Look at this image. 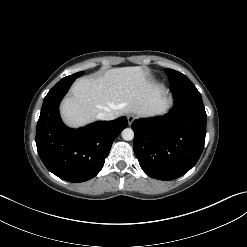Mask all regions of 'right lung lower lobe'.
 Wrapping results in <instances>:
<instances>
[{
  "label": "right lung lower lobe",
  "mask_w": 247,
  "mask_h": 247,
  "mask_svg": "<svg viewBox=\"0 0 247 247\" xmlns=\"http://www.w3.org/2000/svg\"><path fill=\"white\" fill-rule=\"evenodd\" d=\"M75 78L60 80L46 95L36 129V145L46 168L69 182L95 177L112 143L128 126L126 117L70 129L60 119L59 104Z\"/></svg>",
  "instance_id": "obj_1"
}]
</instances>
